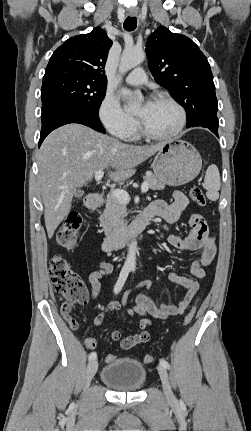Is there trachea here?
<instances>
[{"label":"trachea","instance_id":"3493384b","mask_svg":"<svg viewBox=\"0 0 251 431\" xmlns=\"http://www.w3.org/2000/svg\"><path fill=\"white\" fill-rule=\"evenodd\" d=\"M123 26L126 31H133L137 26L136 17H127Z\"/></svg>","mask_w":251,"mask_h":431}]
</instances>
